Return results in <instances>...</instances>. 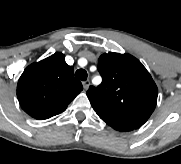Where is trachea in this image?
Wrapping results in <instances>:
<instances>
[{
  "label": "trachea",
  "mask_w": 181,
  "mask_h": 164,
  "mask_svg": "<svg viewBox=\"0 0 181 164\" xmlns=\"http://www.w3.org/2000/svg\"><path fill=\"white\" fill-rule=\"evenodd\" d=\"M75 77L79 80L85 81L87 79V72L85 69H78L75 73Z\"/></svg>",
  "instance_id": "1"
}]
</instances>
